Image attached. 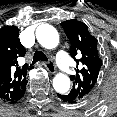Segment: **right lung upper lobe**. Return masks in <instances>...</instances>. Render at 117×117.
<instances>
[{
    "mask_svg": "<svg viewBox=\"0 0 117 117\" xmlns=\"http://www.w3.org/2000/svg\"><path fill=\"white\" fill-rule=\"evenodd\" d=\"M26 53L19 40L16 26L0 29V100L12 101L26 85V65L20 67L18 60Z\"/></svg>",
    "mask_w": 117,
    "mask_h": 117,
    "instance_id": "cb5924a9",
    "label": "right lung upper lobe"
}]
</instances>
